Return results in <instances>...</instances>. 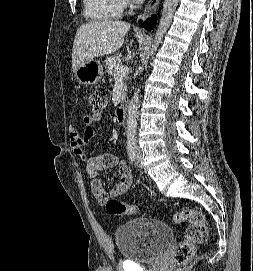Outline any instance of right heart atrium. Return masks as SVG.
Wrapping results in <instances>:
<instances>
[{
  "mask_svg": "<svg viewBox=\"0 0 253 271\" xmlns=\"http://www.w3.org/2000/svg\"><path fill=\"white\" fill-rule=\"evenodd\" d=\"M120 1L122 2V4H123L124 7L127 6V5H129L130 2H131V0H120Z\"/></svg>",
  "mask_w": 253,
  "mask_h": 271,
  "instance_id": "1",
  "label": "right heart atrium"
}]
</instances>
